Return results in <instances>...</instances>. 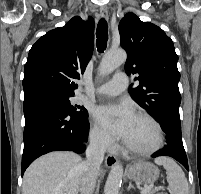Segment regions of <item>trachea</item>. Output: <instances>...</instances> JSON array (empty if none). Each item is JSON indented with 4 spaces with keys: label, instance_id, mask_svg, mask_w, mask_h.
<instances>
[{
    "label": "trachea",
    "instance_id": "obj_1",
    "mask_svg": "<svg viewBox=\"0 0 201 194\" xmlns=\"http://www.w3.org/2000/svg\"><path fill=\"white\" fill-rule=\"evenodd\" d=\"M97 49L99 53H103L107 46L108 40V26L104 18H102L97 25L96 30Z\"/></svg>",
    "mask_w": 201,
    "mask_h": 194
}]
</instances>
